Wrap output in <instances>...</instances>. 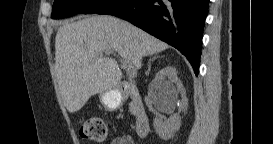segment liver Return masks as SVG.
I'll return each mask as SVG.
<instances>
[{"label":"liver","instance_id":"obj_1","mask_svg":"<svg viewBox=\"0 0 273 144\" xmlns=\"http://www.w3.org/2000/svg\"><path fill=\"white\" fill-rule=\"evenodd\" d=\"M168 47L142 29L108 15L64 23L55 38V71L68 112L79 111L92 95L119 86V65L103 52L116 51L139 69L143 57Z\"/></svg>","mask_w":273,"mask_h":144}]
</instances>
